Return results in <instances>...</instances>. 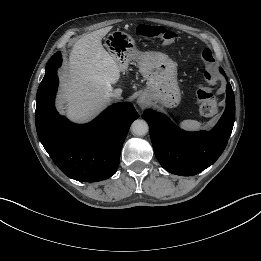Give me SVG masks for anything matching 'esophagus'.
Masks as SVG:
<instances>
[{"instance_id":"34e87169","label":"esophagus","mask_w":261,"mask_h":261,"mask_svg":"<svg viewBox=\"0 0 261 261\" xmlns=\"http://www.w3.org/2000/svg\"><path fill=\"white\" fill-rule=\"evenodd\" d=\"M137 104H138L140 107H144V106L147 104V101H146L145 98L139 97L138 100H137Z\"/></svg>"}]
</instances>
